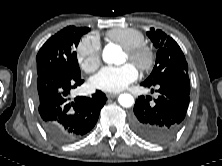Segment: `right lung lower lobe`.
Returning <instances> with one entry per match:
<instances>
[{
	"mask_svg": "<svg viewBox=\"0 0 222 166\" xmlns=\"http://www.w3.org/2000/svg\"><path fill=\"white\" fill-rule=\"evenodd\" d=\"M81 75L51 69L37 75L35 103L46 133L58 143H69L86 135L96 124L107 98L101 91L91 97L71 100L70 91L80 86Z\"/></svg>",
	"mask_w": 222,
	"mask_h": 166,
	"instance_id": "98d812e1",
	"label": "right lung lower lobe"
}]
</instances>
